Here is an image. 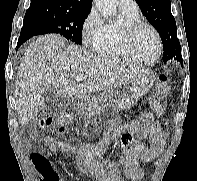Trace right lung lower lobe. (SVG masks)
<instances>
[{
    "mask_svg": "<svg viewBox=\"0 0 197 181\" xmlns=\"http://www.w3.org/2000/svg\"><path fill=\"white\" fill-rule=\"evenodd\" d=\"M31 37H33L32 34L28 32H21L18 43H17V48H19L25 41H27Z\"/></svg>",
    "mask_w": 197,
    "mask_h": 181,
    "instance_id": "1",
    "label": "right lung lower lobe"
}]
</instances>
